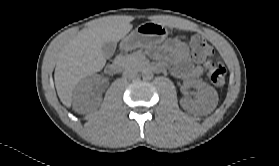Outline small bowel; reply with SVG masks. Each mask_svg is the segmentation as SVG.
<instances>
[{"instance_id": "small-bowel-1", "label": "small bowel", "mask_w": 279, "mask_h": 166, "mask_svg": "<svg viewBox=\"0 0 279 166\" xmlns=\"http://www.w3.org/2000/svg\"><path fill=\"white\" fill-rule=\"evenodd\" d=\"M162 54L176 66L175 74L182 77H198L200 66L193 63L188 46L178 39L168 40L162 47ZM159 56L160 54L157 53ZM160 67L161 65L158 64Z\"/></svg>"}]
</instances>
